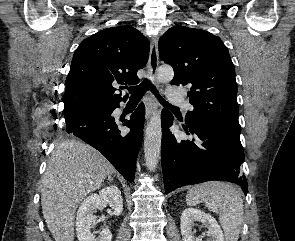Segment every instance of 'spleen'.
<instances>
[{
    "label": "spleen",
    "mask_w": 295,
    "mask_h": 241,
    "mask_svg": "<svg viewBox=\"0 0 295 241\" xmlns=\"http://www.w3.org/2000/svg\"><path fill=\"white\" fill-rule=\"evenodd\" d=\"M186 202L190 206L204 203L210 211L219 214L226 241H238L243 222V200L234 186L219 181L198 184L190 188Z\"/></svg>",
    "instance_id": "obj_1"
}]
</instances>
